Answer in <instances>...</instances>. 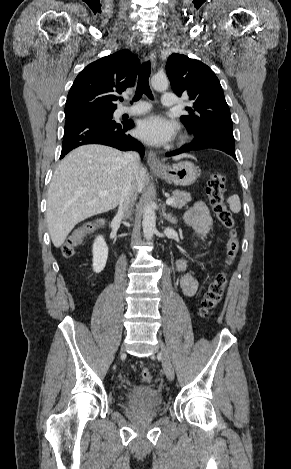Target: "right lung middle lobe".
<instances>
[{
  "instance_id": "obj_1",
  "label": "right lung middle lobe",
  "mask_w": 291,
  "mask_h": 469,
  "mask_svg": "<svg viewBox=\"0 0 291 469\" xmlns=\"http://www.w3.org/2000/svg\"><path fill=\"white\" fill-rule=\"evenodd\" d=\"M113 112H114V110H92V111L84 112V113L73 115V116H65V118L68 119V118H71V117L86 115V114H96V115H101V116H104V117L112 118L113 117Z\"/></svg>"
}]
</instances>
